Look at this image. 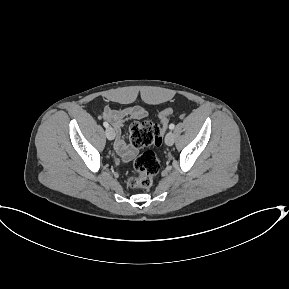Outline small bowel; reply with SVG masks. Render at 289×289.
<instances>
[{
    "instance_id": "obj_1",
    "label": "small bowel",
    "mask_w": 289,
    "mask_h": 289,
    "mask_svg": "<svg viewBox=\"0 0 289 289\" xmlns=\"http://www.w3.org/2000/svg\"><path fill=\"white\" fill-rule=\"evenodd\" d=\"M146 116L147 111L141 106H130L119 110L110 107L104 109L102 117L112 124L117 133L115 151L123 161H130L137 154V149L127 143L124 133L125 123L132 119H143Z\"/></svg>"
}]
</instances>
